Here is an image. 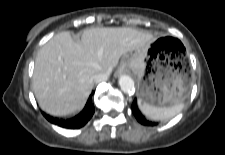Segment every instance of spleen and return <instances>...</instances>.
Returning a JSON list of instances; mask_svg holds the SVG:
<instances>
[{
  "label": "spleen",
  "instance_id": "3e777b00",
  "mask_svg": "<svg viewBox=\"0 0 225 155\" xmlns=\"http://www.w3.org/2000/svg\"><path fill=\"white\" fill-rule=\"evenodd\" d=\"M138 106L141 112L148 118L153 120H167L175 116L180 112L184 104L179 102L169 107H156L148 103L143 102L140 98L138 99Z\"/></svg>",
  "mask_w": 225,
  "mask_h": 155
}]
</instances>
